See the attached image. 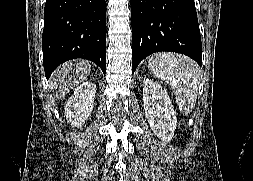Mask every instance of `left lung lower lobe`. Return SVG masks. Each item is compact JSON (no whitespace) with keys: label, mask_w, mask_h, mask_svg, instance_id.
<instances>
[{"label":"left lung lower lobe","mask_w":253,"mask_h":181,"mask_svg":"<svg viewBox=\"0 0 253 181\" xmlns=\"http://www.w3.org/2000/svg\"><path fill=\"white\" fill-rule=\"evenodd\" d=\"M132 73L148 55L171 51L200 66L202 45L194 0H131Z\"/></svg>","instance_id":"obj_1"}]
</instances>
